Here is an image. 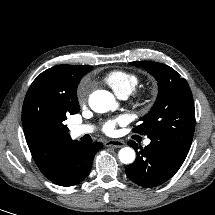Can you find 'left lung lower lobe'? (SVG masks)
<instances>
[{
  "instance_id": "1",
  "label": "left lung lower lobe",
  "mask_w": 215,
  "mask_h": 215,
  "mask_svg": "<svg viewBox=\"0 0 215 215\" xmlns=\"http://www.w3.org/2000/svg\"><path fill=\"white\" fill-rule=\"evenodd\" d=\"M137 151L134 141H129ZM134 163L125 167L127 176L142 187H155L169 180L181 167L187 153L167 142L151 140L145 148L137 151Z\"/></svg>"
}]
</instances>
